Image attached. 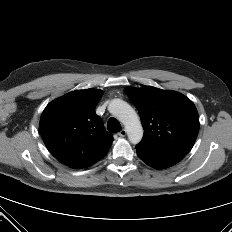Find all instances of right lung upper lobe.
I'll list each match as a JSON object with an SVG mask.
<instances>
[{
	"label": "right lung upper lobe",
	"mask_w": 232,
	"mask_h": 232,
	"mask_svg": "<svg viewBox=\"0 0 232 232\" xmlns=\"http://www.w3.org/2000/svg\"><path fill=\"white\" fill-rule=\"evenodd\" d=\"M103 92L86 89L69 92L44 109L39 130L50 153L71 168H86L108 152L113 136L95 107Z\"/></svg>",
	"instance_id": "cb5924a9"
}]
</instances>
